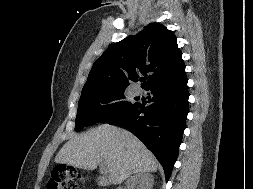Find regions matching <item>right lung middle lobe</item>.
Segmentation results:
<instances>
[{"label": "right lung middle lobe", "mask_w": 253, "mask_h": 189, "mask_svg": "<svg viewBox=\"0 0 253 189\" xmlns=\"http://www.w3.org/2000/svg\"><path fill=\"white\" fill-rule=\"evenodd\" d=\"M125 89L126 87L109 86L83 91L78 104L75 130L80 131L97 122H108L132 109L136 103L125 100Z\"/></svg>", "instance_id": "1"}]
</instances>
